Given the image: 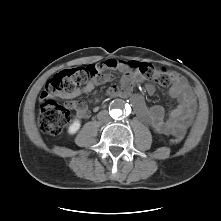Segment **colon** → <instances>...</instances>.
Here are the masks:
<instances>
[{
    "mask_svg": "<svg viewBox=\"0 0 221 221\" xmlns=\"http://www.w3.org/2000/svg\"><path fill=\"white\" fill-rule=\"evenodd\" d=\"M129 70L134 75H140L146 80L154 81L160 86L167 87L177 80L174 72L159 69L146 62H129ZM98 76L94 65L64 69L55 73L47 81L40 95L38 125L44 133L57 134L70 120V110L67 106L59 104L56 96L71 92L76 86L95 81ZM110 94L117 95L119 90L110 89ZM182 137L175 133L173 143H179Z\"/></svg>",
    "mask_w": 221,
    "mask_h": 221,
    "instance_id": "obj_1",
    "label": "colon"
}]
</instances>
